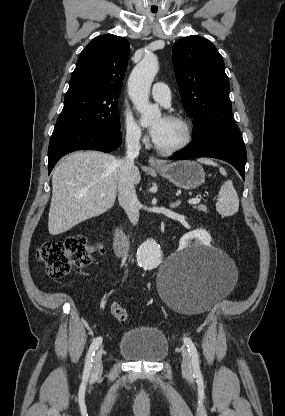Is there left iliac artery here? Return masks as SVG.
<instances>
[{
	"label": "left iliac artery",
	"instance_id": "44dca946",
	"mask_svg": "<svg viewBox=\"0 0 285 416\" xmlns=\"http://www.w3.org/2000/svg\"><path fill=\"white\" fill-rule=\"evenodd\" d=\"M183 340H184V344L188 348V352L190 353V356L192 357V366H193V371H194L193 376L197 380H202V373H201L200 366H199L200 360H199L197 349L190 338L185 337L183 338Z\"/></svg>",
	"mask_w": 285,
	"mask_h": 416
}]
</instances>
